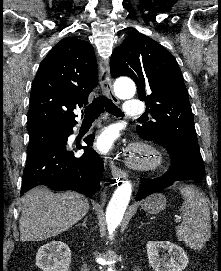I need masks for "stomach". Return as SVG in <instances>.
<instances>
[{
	"label": "stomach",
	"instance_id": "obj_1",
	"mask_svg": "<svg viewBox=\"0 0 221 271\" xmlns=\"http://www.w3.org/2000/svg\"><path fill=\"white\" fill-rule=\"evenodd\" d=\"M142 207L148 213H159L161 209L166 207V197L162 193H153L144 199Z\"/></svg>",
	"mask_w": 221,
	"mask_h": 271
}]
</instances>
